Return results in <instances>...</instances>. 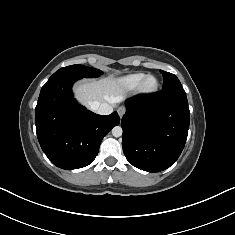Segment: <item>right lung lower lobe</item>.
<instances>
[{"instance_id": "right-lung-lower-lobe-1", "label": "right lung lower lobe", "mask_w": 235, "mask_h": 235, "mask_svg": "<svg viewBox=\"0 0 235 235\" xmlns=\"http://www.w3.org/2000/svg\"><path fill=\"white\" fill-rule=\"evenodd\" d=\"M76 76L49 79L42 87L35 109L38 141L59 168L72 170L91 164L104 136L120 122L117 112L97 115L73 97Z\"/></svg>"}]
</instances>
